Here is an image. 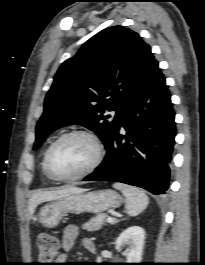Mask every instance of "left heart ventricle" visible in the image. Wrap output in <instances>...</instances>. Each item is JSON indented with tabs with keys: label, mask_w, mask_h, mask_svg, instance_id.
I'll return each instance as SVG.
<instances>
[{
	"label": "left heart ventricle",
	"mask_w": 205,
	"mask_h": 265,
	"mask_svg": "<svg viewBox=\"0 0 205 265\" xmlns=\"http://www.w3.org/2000/svg\"><path fill=\"white\" fill-rule=\"evenodd\" d=\"M93 143L81 136L59 143L50 155L52 170L61 176H72L84 170L94 159Z\"/></svg>",
	"instance_id": "obj_1"
}]
</instances>
